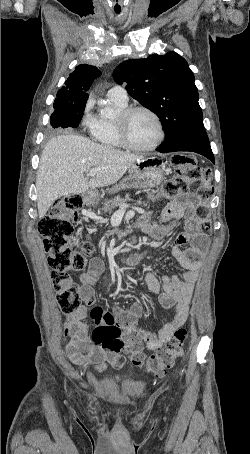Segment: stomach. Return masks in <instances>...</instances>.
<instances>
[{"mask_svg": "<svg viewBox=\"0 0 250 454\" xmlns=\"http://www.w3.org/2000/svg\"><path fill=\"white\" fill-rule=\"evenodd\" d=\"M165 164L156 157H146L133 163L129 168V177L123 183L114 188L113 191L124 187L149 188L159 185L165 176ZM83 201L87 204L95 203L99 195L96 191H88L82 195Z\"/></svg>", "mask_w": 250, "mask_h": 454, "instance_id": "0dacf381", "label": "stomach"}]
</instances>
